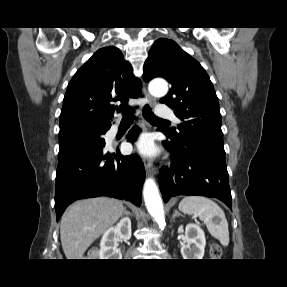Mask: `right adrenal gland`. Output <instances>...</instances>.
<instances>
[{
    "mask_svg": "<svg viewBox=\"0 0 287 287\" xmlns=\"http://www.w3.org/2000/svg\"><path fill=\"white\" fill-rule=\"evenodd\" d=\"M124 214H125V215H130V212H129V211H127V210H126V208H125V210H124Z\"/></svg>",
    "mask_w": 287,
    "mask_h": 287,
    "instance_id": "2a0ac1e0",
    "label": "right adrenal gland"
}]
</instances>
